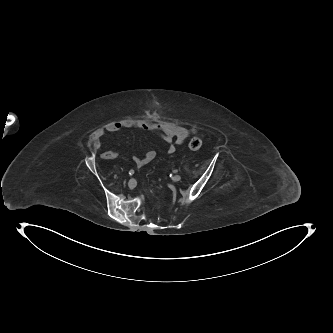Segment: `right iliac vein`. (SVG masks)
Masks as SVG:
<instances>
[{
  "instance_id": "63e3f726",
  "label": "right iliac vein",
  "mask_w": 333,
  "mask_h": 333,
  "mask_svg": "<svg viewBox=\"0 0 333 333\" xmlns=\"http://www.w3.org/2000/svg\"><path fill=\"white\" fill-rule=\"evenodd\" d=\"M136 185H137L136 180L133 179V178H131V179L129 180V182H128V187H129L130 189H134V188L136 187Z\"/></svg>"
}]
</instances>
